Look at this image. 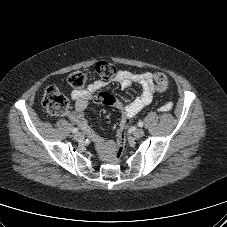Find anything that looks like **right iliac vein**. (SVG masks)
Segmentation results:
<instances>
[{
	"instance_id": "1",
	"label": "right iliac vein",
	"mask_w": 227,
	"mask_h": 227,
	"mask_svg": "<svg viewBox=\"0 0 227 227\" xmlns=\"http://www.w3.org/2000/svg\"><path fill=\"white\" fill-rule=\"evenodd\" d=\"M74 139L76 140V141H83V139H84V135L82 134V133H76L75 135H74Z\"/></svg>"
}]
</instances>
